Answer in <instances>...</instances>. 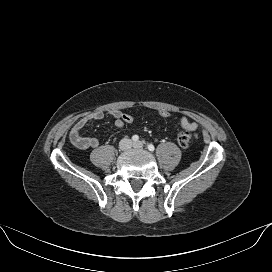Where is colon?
I'll use <instances>...</instances> for the list:
<instances>
[{"mask_svg":"<svg viewBox=\"0 0 272 272\" xmlns=\"http://www.w3.org/2000/svg\"><path fill=\"white\" fill-rule=\"evenodd\" d=\"M158 116L162 119H168L171 114L169 111L161 110L158 112ZM121 119L125 124H130L134 121V118L130 114L122 113ZM192 133L187 129L181 130L177 135V141L180 147L187 148L191 141Z\"/></svg>","mask_w":272,"mask_h":272,"instance_id":"colon-1","label":"colon"}]
</instances>
